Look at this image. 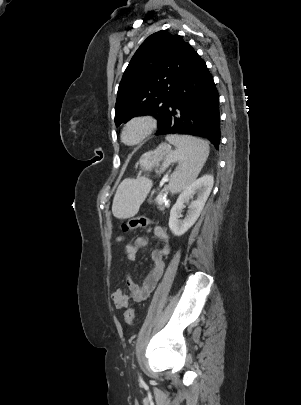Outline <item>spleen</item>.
Masks as SVG:
<instances>
[{"label": "spleen", "mask_w": 301, "mask_h": 405, "mask_svg": "<svg viewBox=\"0 0 301 405\" xmlns=\"http://www.w3.org/2000/svg\"><path fill=\"white\" fill-rule=\"evenodd\" d=\"M166 140L175 146V150L165 159L160 172L171 163L179 162L169 181V190L178 193L197 178L208 158L209 145L202 139L183 135H170ZM151 186V181L146 178L125 179L114 196L113 215L121 219L133 216Z\"/></svg>", "instance_id": "obj_1"}]
</instances>
